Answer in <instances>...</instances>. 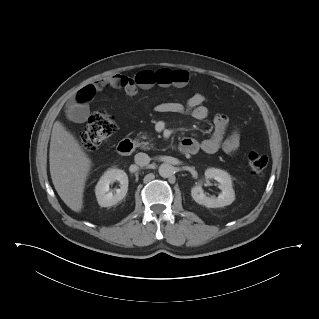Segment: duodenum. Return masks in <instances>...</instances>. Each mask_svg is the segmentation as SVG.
I'll return each instance as SVG.
<instances>
[{"instance_id":"duodenum-1","label":"duodenum","mask_w":319,"mask_h":319,"mask_svg":"<svg viewBox=\"0 0 319 319\" xmlns=\"http://www.w3.org/2000/svg\"><path fill=\"white\" fill-rule=\"evenodd\" d=\"M134 148V143L130 139L122 140L117 147V150L122 155L129 154ZM191 146L187 142H182L180 144L179 150L182 154H190Z\"/></svg>"}]
</instances>
